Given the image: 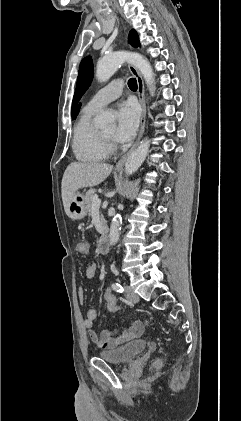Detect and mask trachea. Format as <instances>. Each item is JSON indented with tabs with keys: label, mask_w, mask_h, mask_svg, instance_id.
Instances as JSON below:
<instances>
[{
	"label": "trachea",
	"mask_w": 241,
	"mask_h": 421,
	"mask_svg": "<svg viewBox=\"0 0 241 421\" xmlns=\"http://www.w3.org/2000/svg\"><path fill=\"white\" fill-rule=\"evenodd\" d=\"M128 86L131 90H137V81L135 78H130L128 80Z\"/></svg>",
	"instance_id": "trachea-1"
}]
</instances>
